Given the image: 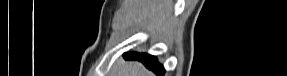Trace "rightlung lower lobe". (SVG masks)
<instances>
[{
    "label": "right lung lower lobe",
    "instance_id": "obj_1",
    "mask_svg": "<svg viewBox=\"0 0 287 76\" xmlns=\"http://www.w3.org/2000/svg\"><path fill=\"white\" fill-rule=\"evenodd\" d=\"M126 59L129 60H139L141 61L148 69L153 70L159 76H163L164 68L161 66L154 56H150L148 54H138V53H130L125 55Z\"/></svg>",
    "mask_w": 287,
    "mask_h": 76
}]
</instances>
